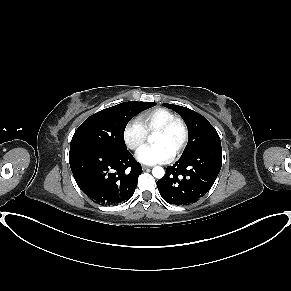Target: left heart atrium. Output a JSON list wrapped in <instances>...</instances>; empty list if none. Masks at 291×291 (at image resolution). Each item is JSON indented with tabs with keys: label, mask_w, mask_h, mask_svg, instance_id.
<instances>
[{
	"label": "left heart atrium",
	"mask_w": 291,
	"mask_h": 291,
	"mask_svg": "<svg viewBox=\"0 0 291 291\" xmlns=\"http://www.w3.org/2000/svg\"><path fill=\"white\" fill-rule=\"evenodd\" d=\"M136 158L143 164H160L172 160L173 152L160 144L144 145L137 150Z\"/></svg>",
	"instance_id": "obj_1"
}]
</instances>
